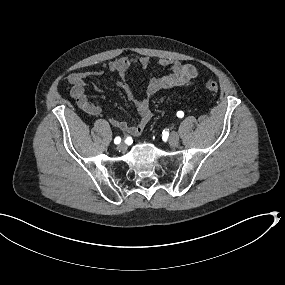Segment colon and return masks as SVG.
<instances>
[{"label":"colon","mask_w":285,"mask_h":285,"mask_svg":"<svg viewBox=\"0 0 285 285\" xmlns=\"http://www.w3.org/2000/svg\"><path fill=\"white\" fill-rule=\"evenodd\" d=\"M205 87L209 90L212 94H217L219 91V86L215 81L208 80L205 82Z\"/></svg>","instance_id":"5ec220e1"}]
</instances>
